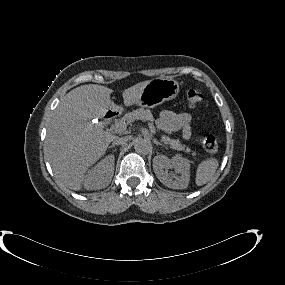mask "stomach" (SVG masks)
<instances>
[{
  "label": "stomach",
  "instance_id": "0dacf381",
  "mask_svg": "<svg viewBox=\"0 0 285 285\" xmlns=\"http://www.w3.org/2000/svg\"><path fill=\"white\" fill-rule=\"evenodd\" d=\"M179 84L174 79L155 78L142 89L137 105L155 107L165 101L172 100L179 94Z\"/></svg>",
  "mask_w": 285,
  "mask_h": 285
}]
</instances>
